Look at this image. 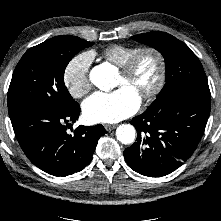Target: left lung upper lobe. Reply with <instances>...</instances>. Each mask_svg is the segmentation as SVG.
Here are the masks:
<instances>
[{
    "mask_svg": "<svg viewBox=\"0 0 221 221\" xmlns=\"http://www.w3.org/2000/svg\"><path fill=\"white\" fill-rule=\"evenodd\" d=\"M131 38L155 48L165 58L166 84L147 110H154L166 98L182 93L196 92L211 96L202 64L185 43L160 31L138 34Z\"/></svg>",
    "mask_w": 221,
    "mask_h": 221,
    "instance_id": "obj_1",
    "label": "left lung upper lobe"
}]
</instances>
